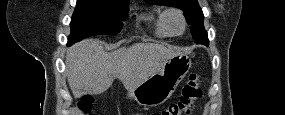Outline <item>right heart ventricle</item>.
<instances>
[{
    "label": "right heart ventricle",
    "mask_w": 285,
    "mask_h": 115,
    "mask_svg": "<svg viewBox=\"0 0 285 115\" xmlns=\"http://www.w3.org/2000/svg\"><path fill=\"white\" fill-rule=\"evenodd\" d=\"M153 29L155 33L162 37L172 36L170 32L167 30L164 21H163V12L158 13L156 19L153 24Z\"/></svg>",
    "instance_id": "e07e8e85"
}]
</instances>
